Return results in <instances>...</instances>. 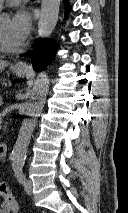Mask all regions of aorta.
Masks as SVG:
<instances>
[{
  "instance_id": "aorta-1",
  "label": "aorta",
  "mask_w": 128,
  "mask_h": 213,
  "mask_svg": "<svg viewBox=\"0 0 128 213\" xmlns=\"http://www.w3.org/2000/svg\"><path fill=\"white\" fill-rule=\"evenodd\" d=\"M61 0H42L41 14L38 23V34L40 37H49L58 21ZM49 90V79L45 72L39 74L32 92L31 99L26 104V118L22 122L15 146L11 153L12 168L23 167L31 135L37 124L36 117L43 108L41 100L44 99Z\"/></svg>"
}]
</instances>
